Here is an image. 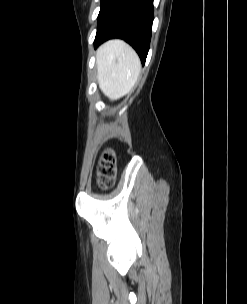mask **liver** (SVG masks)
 Instances as JSON below:
<instances>
[{
	"label": "liver",
	"mask_w": 247,
	"mask_h": 304,
	"mask_svg": "<svg viewBox=\"0 0 247 304\" xmlns=\"http://www.w3.org/2000/svg\"><path fill=\"white\" fill-rule=\"evenodd\" d=\"M96 64L99 88L111 100L129 93L141 70L137 53L120 39L107 41L98 48Z\"/></svg>",
	"instance_id": "liver-1"
}]
</instances>
